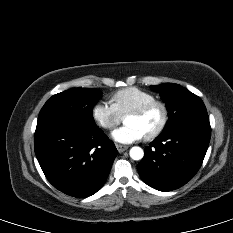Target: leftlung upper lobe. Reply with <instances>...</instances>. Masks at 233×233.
<instances>
[{
    "mask_svg": "<svg viewBox=\"0 0 233 233\" xmlns=\"http://www.w3.org/2000/svg\"><path fill=\"white\" fill-rule=\"evenodd\" d=\"M166 103L169 119L163 131L194 120H209L206 107L200 97L174 83L151 86Z\"/></svg>",
    "mask_w": 233,
    "mask_h": 233,
    "instance_id": "left-lung-upper-lobe-1",
    "label": "left lung upper lobe"
}]
</instances>
